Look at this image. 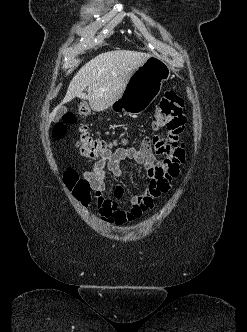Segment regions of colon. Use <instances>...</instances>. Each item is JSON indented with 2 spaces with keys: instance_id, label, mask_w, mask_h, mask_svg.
Listing matches in <instances>:
<instances>
[{
  "instance_id": "1",
  "label": "colon",
  "mask_w": 247,
  "mask_h": 332,
  "mask_svg": "<svg viewBox=\"0 0 247 332\" xmlns=\"http://www.w3.org/2000/svg\"><path fill=\"white\" fill-rule=\"evenodd\" d=\"M183 99L174 91H167L163 95L154 114L153 126L156 129L166 128L170 134L180 133L184 125V116L182 114ZM79 112L87 115L89 109L87 105L80 104ZM76 122V116L73 113L64 115L63 120L56 124L53 130L55 139H62L67 132V126ZM157 145L160 139L156 138ZM113 144L95 138L85 129H82L77 141V147L80 153L88 158H96L109 152ZM66 183L73 195L83 204L88 205L91 201L90 184L78 177L75 171H70L66 176Z\"/></svg>"
}]
</instances>
